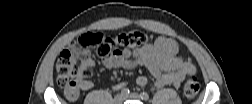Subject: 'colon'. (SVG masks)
Segmentation results:
<instances>
[{
    "mask_svg": "<svg viewBox=\"0 0 252 104\" xmlns=\"http://www.w3.org/2000/svg\"><path fill=\"white\" fill-rule=\"evenodd\" d=\"M147 41V35L137 29L118 34L115 38L100 32H89L80 36L59 55L56 64L57 83L66 97L74 100L79 95L81 80L91 75V68L84 61L95 54L106 59L118 48H138ZM200 90L199 80L189 74L184 81V94L187 98H195Z\"/></svg>",
    "mask_w": 252,
    "mask_h": 104,
    "instance_id": "1",
    "label": "colon"
}]
</instances>
